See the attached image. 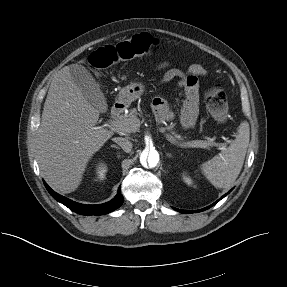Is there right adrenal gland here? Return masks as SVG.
Here are the masks:
<instances>
[{
  "instance_id": "right-adrenal-gland-1",
  "label": "right adrenal gland",
  "mask_w": 287,
  "mask_h": 287,
  "mask_svg": "<svg viewBox=\"0 0 287 287\" xmlns=\"http://www.w3.org/2000/svg\"><path fill=\"white\" fill-rule=\"evenodd\" d=\"M111 147H112V148L119 149V147H118V146H116V145H114V144H113V145H111Z\"/></svg>"
}]
</instances>
